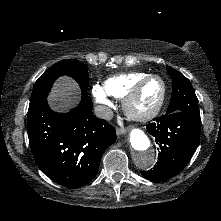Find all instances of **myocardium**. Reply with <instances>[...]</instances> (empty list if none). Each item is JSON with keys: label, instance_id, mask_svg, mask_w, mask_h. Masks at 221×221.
<instances>
[{"label": "myocardium", "instance_id": "1", "mask_svg": "<svg viewBox=\"0 0 221 221\" xmlns=\"http://www.w3.org/2000/svg\"><path fill=\"white\" fill-rule=\"evenodd\" d=\"M151 79H158L162 84V92L161 96L157 102V104L150 110L145 112L136 111L134 108V103L137 100L141 90L143 89L144 85ZM167 94V85L165 80L156 74H149L139 80L135 86L130 90V92L123 98V111L125 115L133 121L137 122H146L153 118H155L161 111Z\"/></svg>", "mask_w": 221, "mask_h": 221}]
</instances>
